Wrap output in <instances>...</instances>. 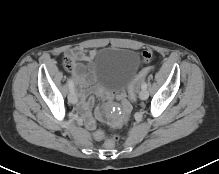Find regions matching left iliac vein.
I'll return each instance as SVG.
<instances>
[{"label": "left iliac vein", "instance_id": "4c4485c4", "mask_svg": "<svg viewBox=\"0 0 219 174\" xmlns=\"http://www.w3.org/2000/svg\"><path fill=\"white\" fill-rule=\"evenodd\" d=\"M139 98L141 100H146L148 98V92L146 91V89H142L139 92Z\"/></svg>", "mask_w": 219, "mask_h": 174}]
</instances>
